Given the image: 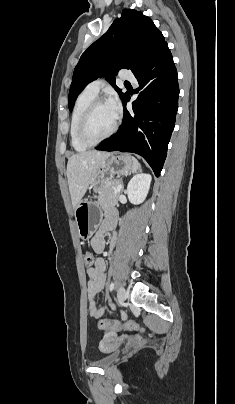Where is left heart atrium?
<instances>
[{"instance_id":"left-heart-atrium-1","label":"left heart atrium","mask_w":235,"mask_h":404,"mask_svg":"<svg viewBox=\"0 0 235 404\" xmlns=\"http://www.w3.org/2000/svg\"><path fill=\"white\" fill-rule=\"evenodd\" d=\"M108 107L114 113L115 116H118L121 111V104L119 99L116 96H112L108 99L107 103Z\"/></svg>"}]
</instances>
